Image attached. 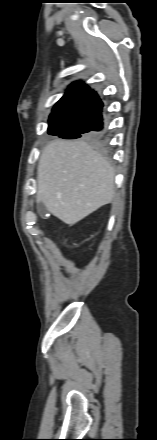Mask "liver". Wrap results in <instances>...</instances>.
Returning <instances> with one entry per match:
<instances>
[{
	"label": "liver",
	"instance_id": "1",
	"mask_svg": "<svg viewBox=\"0 0 157 440\" xmlns=\"http://www.w3.org/2000/svg\"><path fill=\"white\" fill-rule=\"evenodd\" d=\"M114 177V168L86 142L56 140L38 163L37 201L73 225L114 199Z\"/></svg>",
	"mask_w": 157,
	"mask_h": 440
}]
</instances>
